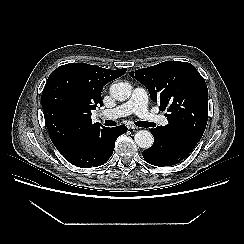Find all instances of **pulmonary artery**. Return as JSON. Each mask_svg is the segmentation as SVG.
<instances>
[{
  "label": "pulmonary artery",
  "mask_w": 244,
  "mask_h": 244,
  "mask_svg": "<svg viewBox=\"0 0 244 244\" xmlns=\"http://www.w3.org/2000/svg\"><path fill=\"white\" fill-rule=\"evenodd\" d=\"M132 113L137 114L147 122L157 123L162 126L168 123L164 115L155 114L148 109V94L141 87L134 89L131 98L126 103L116 108L105 110L103 116L106 118H118L128 116Z\"/></svg>",
  "instance_id": "1"
}]
</instances>
